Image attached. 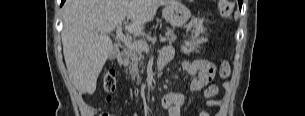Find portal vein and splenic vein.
Wrapping results in <instances>:
<instances>
[{
    "mask_svg": "<svg viewBox=\"0 0 305 116\" xmlns=\"http://www.w3.org/2000/svg\"><path fill=\"white\" fill-rule=\"evenodd\" d=\"M116 38L121 40L125 44V46L130 49H138L146 53L149 52V46L145 41L132 42V39L130 37L123 35L122 25L120 23L117 25ZM160 41L165 42L166 38L160 37Z\"/></svg>",
    "mask_w": 305,
    "mask_h": 116,
    "instance_id": "1",
    "label": "portal vein and splenic vein"
}]
</instances>
